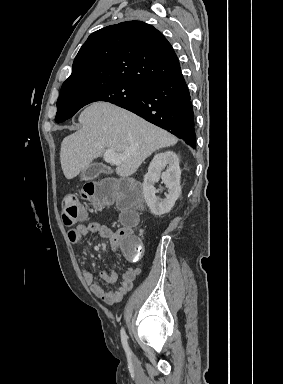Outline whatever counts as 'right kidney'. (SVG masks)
<instances>
[{"instance_id":"1","label":"right kidney","mask_w":283,"mask_h":384,"mask_svg":"<svg viewBox=\"0 0 283 384\" xmlns=\"http://www.w3.org/2000/svg\"><path fill=\"white\" fill-rule=\"evenodd\" d=\"M166 166H168L166 172H162ZM159 178H162L163 184L168 188L165 200H159L155 196L158 190L154 188V184L159 182ZM180 178L181 170L175 152H163L154 156L143 182L144 198L151 214L162 218L163 214H168L172 210L181 194Z\"/></svg>"}]
</instances>
